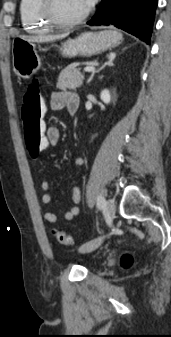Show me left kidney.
<instances>
[{
  "instance_id": "obj_1",
  "label": "left kidney",
  "mask_w": 171,
  "mask_h": 337,
  "mask_svg": "<svg viewBox=\"0 0 171 337\" xmlns=\"http://www.w3.org/2000/svg\"><path fill=\"white\" fill-rule=\"evenodd\" d=\"M100 98L104 103L109 104L111 101V95H110L109 90L107 89L103 90L101 92Z\"/></svg>"
}]
</instances>
